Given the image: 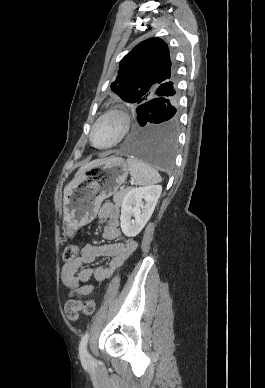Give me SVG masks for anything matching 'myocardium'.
<instances>
[{
  "mask_svg": "<svg viewBox=\"0 0 265 388\" xmlns=\"http://www.w3.org/2000/svg\"><path fill=\"white\" fill-rule=\"evenodd\" d=\"M113 116L118 119V128L115 139L108 144H104L99 146V148H111L119 144L126 136L128 128L130 126V117L126 112L120 109H110L106 111L104 114H102L95 122L93 128L91 129L89 133V139L90 142L93 144V132L96 129V127L106 118Z\"/></svg>",
  "mask_w": 265,
  "mask_h": 388,
  "instance_id": "myocardium-1",
  "label": "myocardium"
}]
</instances>
